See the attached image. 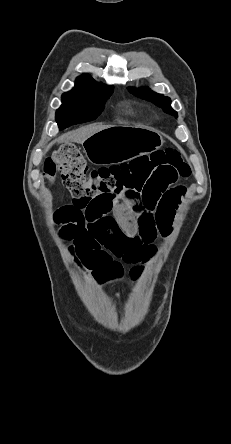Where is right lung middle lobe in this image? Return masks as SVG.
Here are the masks:
<instances>
[{
  "label": "right lung middle lobe",
  "mask_w": 231,
  "mask_h": 444,
  "mask_svg": "<svg viewBox=\"0 0 231 444\" xmlns=\"http://www.w3.org/2000/svg\"><path fill=\"white\" fill-rule=\"evenodd\" d=\"M112 92L113 88L99 93H64L62 105L56 111V121L60 130L96 119Z\"/></svg>",
  "instance_id": "dd1d6c3e"
}]
</instances>
